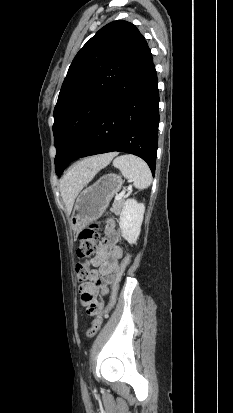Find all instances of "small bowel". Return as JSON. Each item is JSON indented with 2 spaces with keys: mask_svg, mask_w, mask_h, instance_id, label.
Listing matches in <instances>:
<instances>
[{
  "mask_svg": "<svg viewBox=\"0 0 233 413\" xmlns=\"http://www.w3.org/2000/svg\"><path fill=\"white\" fill-rule=\"evenodd\" d=\"M118 242L116 223L109 220L98 253L91 261L96 269L93 270L90 279L79 286L80 302L87 308L88 314H95L103 307V298L110 293V286L118 277L119 263L123 257V249ZM88 304L97 310H91Z\"/></svg>",
  "mask_w": 233,
  "mask_h": 413,
  "instance_id": "1",
  "label": "small bowel"
}]
</instances>
